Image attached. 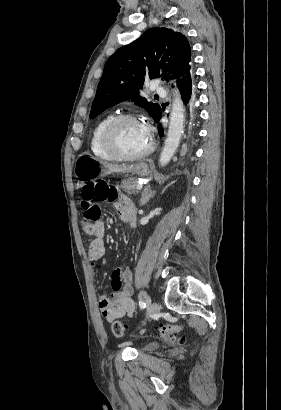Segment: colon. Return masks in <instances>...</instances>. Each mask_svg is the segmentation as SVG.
<instances>
[{
  "mask_svg": "<svg viewBox=\"0 0 281 410\" xmlns=\"http://www.w3.org/2000/svg\"><path fill=\"white\" fill-rule=\"evenodd\" d=\"M118 193L108 182L100 180L94 184H87L82 188L81 206L84 210L81 225L85 232L95 233L96 223L101 217L100 202H113L117 199ZM112 332L116 337L125 335V326L120 321L112 323ZM183 326L179 324L162 325L159 327L161 337L172 344H183L184 337H178L176 334L182 331Z\"/></svg>",
  "mask_w": 281,
  "mask_h": 410,
  "instance_id": "colon-1",
  "label": "colon"
}]
</instances>
